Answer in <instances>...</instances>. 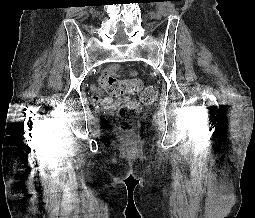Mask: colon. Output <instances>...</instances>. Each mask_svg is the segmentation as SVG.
I'll return each mask as SVG.
<instances>
[{"mask_svg": "<svg viewBox=\"0 0 255 218\" xmlns=\"http://www.w3.org/2000/svg\"><path fill=\"white\" fill-rule=\"evenodd\" d=\"M100 83L102 87L112 96L123 97L127 95H135L141 93L143 103L149 104L156 100L157 90L155 87L149 86L143 89L139 79L119 80L107 75L101 77ZM140 112L138 102L126 98L124 103L118 109L119 127L122 131H129L133 127V122Z\"/></svg>", "mask_w": 255, "mask_h": 218, "instance_id": "5ec220e1", "label": "colon"}]
</instances>
